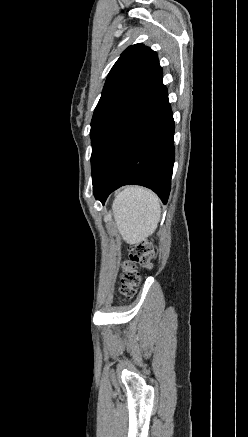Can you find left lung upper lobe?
<instances>
[{"label": "left lung upper lobe", "mask_w": 248, "mask_h": 437, "mask_svg": "<svg viewBox=\"0 0 248 437\" xmlns=\"http://www.w3.org/2000/svg\"><path fill=\"white\" fill-rule=\"evenodd\" d=\"M157 53L139 43L128 47L110 70L95 108L90 137L92 180L112 136L162 84Z\"/></svg>", "instance_id": "obj_1"}]
</instances>
